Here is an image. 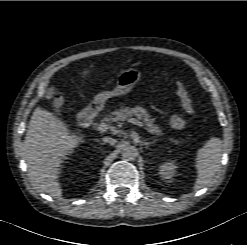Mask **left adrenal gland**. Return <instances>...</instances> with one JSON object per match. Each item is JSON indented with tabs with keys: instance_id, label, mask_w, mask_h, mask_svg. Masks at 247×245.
<instances>
[{
	"instance_id": "a2214340",
	"label": "left adrenal gland",
	"mask_w": 247,
	"mask_h": 245,
	"mask_svg": "<svg viewBox=\"0 0 247 245\" xmlns=\"http://www.w3.org/2000/svg\"><path fill=\"white\" fill-rule=\"evenodd\" d=\"M153 143H154V141H152V142H146V141H144L143 142V144H144V146H145L146 149H148L149 146H151Z\"/></svg>"
}]
</instances>
